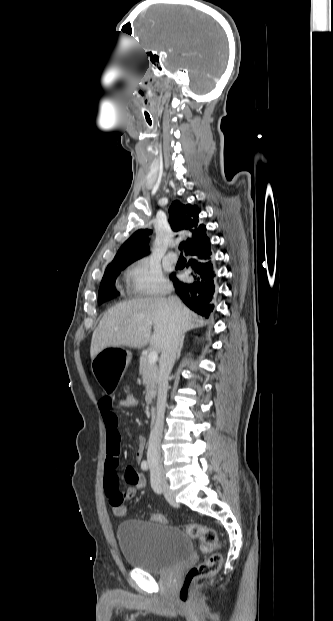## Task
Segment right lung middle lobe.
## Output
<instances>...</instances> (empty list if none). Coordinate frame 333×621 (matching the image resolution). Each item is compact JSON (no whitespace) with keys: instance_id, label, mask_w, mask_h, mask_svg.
<instances>
[{"instance_id":"1","label":"right lung middle lobe","mask_w":333,"mask_h":621,"mask_svg":"<svg viewBox=\"0 0 333 621\" xmlns=\"http://www.w3.org/2000/svg\"><path fill=\"white\" fill-rule=\"evenodd\" d=\"M129 264H121L118 266L107 267L104 276L101 281L98 303L101 304L105 301L111 300L119 295V292L115 289V280L119 273L125 269Z\"/></svg>"}]
</instances>
